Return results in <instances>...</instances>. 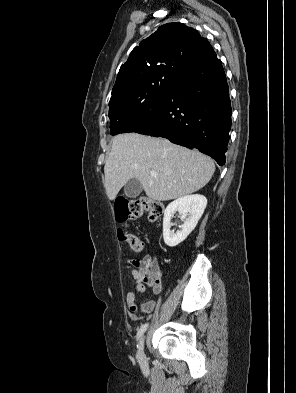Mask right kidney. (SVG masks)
<instances>
[{"label": "right kidney", "mask_w": 296, "mask_h": 393, "mask_svg": "<svg viewBox=\"0 0 296 393\" xmlns=\"http://www.w3.org/2000/svg\"><path fill=\"white\" fill-rule=\"evenodd\" d=\"M206 205V197L199 194L183 196L171 202L167 206L163 218V238L165 244L169 247H175L183 242L196 227ZM176 212L181 215L180 218L183 221V225L181 226V230L175 233L170 230V227L171 218Z\"/></svg>", "instance_id": "right-kidney-1"}]
</instances>
